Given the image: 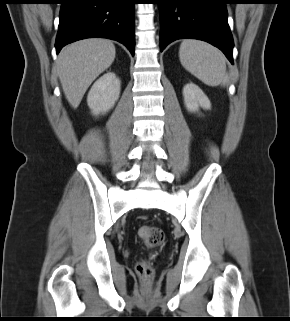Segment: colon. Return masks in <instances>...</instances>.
Listing matches in <instances>:
<instances>
[{"mask_svg": "<svg viewBox=\"0 0 290 321\" xmlns=\"http://www.w3.org/2000/svg\"><path fill=\"white\" fill-rule=\"evenodd\" d=\"M138 234L148 248H156L164 241L163 231L156 226H141ZM136 270L144 284H148L153 278L154 270L150 260L140 261Z\"/></svg>", "mask_w": 290, "mask_h": 321, "instance_id": "obj_1", "label": "colon"}]
</instances>
